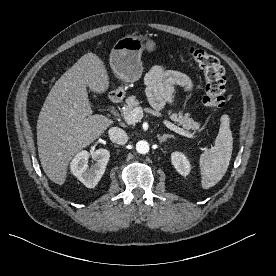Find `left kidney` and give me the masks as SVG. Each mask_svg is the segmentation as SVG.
I'll return each mask as SVG.
<instances>
[{
	"mask_svg": "<svg viewBox=\"0 0 276 276\" xmlns=\"http://www.w3.org/2000/svg\"><path fill=\"white\" fill-rule=\"evenodd\" d=\"M172 164L179 174L187 176L190 172V162L186 155L182 152L176 151L171 154Z\"/></svg>",
	"mask_w": 276,
	"mask_h": 276,
	"instance_id": "left-kidney-1",
	"label": "left kidney"
}]
</instances>
